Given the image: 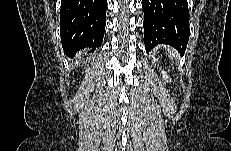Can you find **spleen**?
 <instances>
[{
    "mask_svg": "<svg viewBox=\"0 0 231 151\" xmlns=\"http://www.w3.org/2000/svg\"><path fill=\"white\" fill-rule=\"evenodd\" d=\"M175 56H176V52L172 50V51L170 52V58H173V57H175Z\"/></svg>",
    "mask_w": 231,
    "mask_h": 151,
    "instance_id": "3e777b00",
    "label": "spleen"
}]
</instances>
